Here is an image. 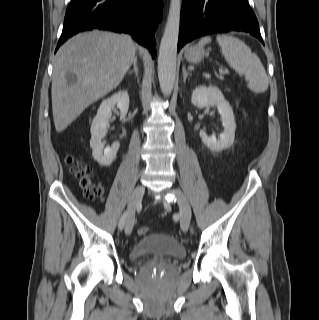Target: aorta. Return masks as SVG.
Listing matches in <instances>:
<instances>
[{
	"mask_svg": "<svg viewBox=\"0 0 319 320\" xmlns=\"http://www.w3.org/2000/svg\"><path fill=\"white\" fill-rule=\"evenodd\" d=\"M181 0H171L169 14L158 56V78L164 95H170L176 77L177 43L180 27Z\"/></svg>",
	"mask_w": 319,
	"mask_h": 320,
	"instance_id": "aorta-1",
	"label": "aorta"
}]
</instances>
